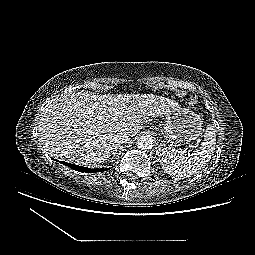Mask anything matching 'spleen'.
Returning <instances> with one entry per match:
<instances>
[{"instance_id": "1", "label": "spleen", "mask_w": 255, "mask_h": 255, "mask_svg": "<svg viewBox=\"0 0 255 255\" xmlns=\"http://www.w3.org/2000/svg\"><path fill=\"white\" fill-rule=\"evenodd\" d=\"M215 145V130L209 124L204 134V141L194 153L190 155L183 150L166 149L162 153V167L172 176L184 177L196 174L210 161Z\"/></svg>"}]
</instances>
